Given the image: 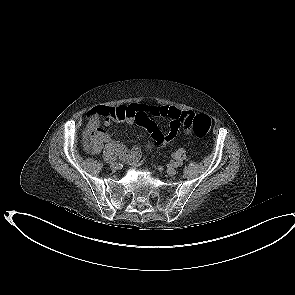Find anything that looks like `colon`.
I'll return each mask as SVG.
<instances>
[{
  "mask_svg": "<svg viewBox=\"0 0 295 295\" xmlns=\"http://www.w3.org/2000/svg\"><path fill=\"white\" fill-rule=\"evenodd\" d=\"M180 122L185 128H191L199 137L205 136L211 127V119L206 114L181 115ZM156 148L157 142L150 140L144 147V152L151 154Z\"/></svg>",
  "mask_w": 295,
  "mask_h": 295,
  "instance_id": "colon-1",
  "label": "colon"
}]
</instances>
